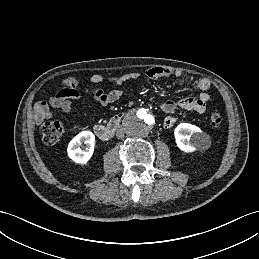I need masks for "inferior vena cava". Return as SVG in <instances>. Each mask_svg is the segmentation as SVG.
Listing matches in <instances>:
<instances>
[{"instance_id": "1", "label": "inferior vena cava", "mask_w": 259, "mask_h": 259, "mask_svg": "<svg viewBox=\"0 0 259 259\" xmlns=\"http://www.w3.org/2000/svg\"><path fill=\"white\" fill-rule=\"evenodd\" d=\"M125 132H126L125 128L119 127V128L117 129V131H116V137L119 138V139H120V138H123Z\"/></svg>"}]
</instances>
